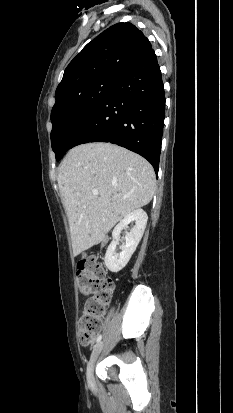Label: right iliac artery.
<instances>
[{"mask_svg": "<svg viewBox=\"0 0 233 413\" xmlns=\"http://www.w3.org/2000/svg\"><path fill=\"white\" fill-rule=\"evenodd\" d=\"M101 338H102V335H99L98 338H97V340H96L97 343H99V342L101 341Z\"/></svg>", "mask_w": 233, "mask_h": 413, "instance_id": "82829eb1", "label": "right iliac artery"}]
</instances>
